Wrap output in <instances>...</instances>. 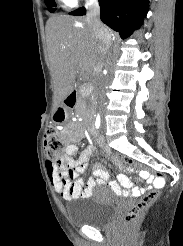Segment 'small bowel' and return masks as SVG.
<instances>
[{
    "label": "small bowel",
    "instance_id": "small-bowel-1",
    "mask_svg": "<svg viewBox=\"0 0 183 246\" xmlns=\"http://www.w3.org/2000/svg\"><path fill=\"white\" fill-rule=\"evenodd\" d=\"M64 131L71 141L65 150V163L58 166L47 160L45 164L46 172L53 188L63 199L72 201L79 198H87L92 194V190L96 185L104 183H109L117 194L134 196L149 191L152 186L158 187L163 184V181L160 180L162 178L161 174H158V179H155V174H152L150 177L147 173L141 172V176L146 177L145 182L152 183L153 185H147L140 190H134L132 189L130 179L126 175L120 174L117 182L111 181L108 172L101 167H95L93 169V177L85 182L81 174L87 169L89 159L94 154V149L87 148L81 153L77 160L71 159L78 150L76 142L81 138L82 132L69 131L67 129H64ZM99 146H101V144H99ZM126 170L129 171L128 168H126Z\"/></svg>",
    "mask_w": 183,
    "mask_h": 246
}]
</instances>
